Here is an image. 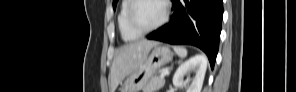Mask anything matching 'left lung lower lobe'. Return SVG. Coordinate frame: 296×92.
Wrapping results in <instances>:
<instances>
[{
    "instance_id": "0a47b994",
    "label": "left lung lower lobe",
    "mask_w": 296,
    "mask_h": 92,
    "mask_svg": "<svg viewBox=\"0 0 296 92\" xmlns=\"http://www.w3.org/2000/svg\"><path fill=\"white\" fill-rule=\"evenodd\" d=\"M168 24L147 35L170 44H188L203 50L214 67L223 16L222 0H172Z\"/></svg>"
}]
</instances>
